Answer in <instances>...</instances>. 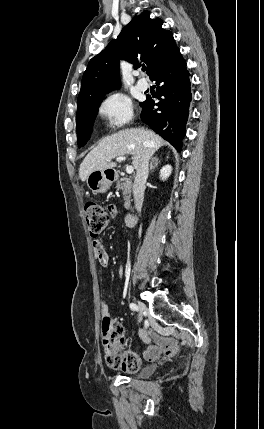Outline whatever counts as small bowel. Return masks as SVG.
Instances as JSON below:
<instances>
[{
  "mask_svg": "<svg viewBox=\"0 0 264 429\" xmlns=\"http://www.w3.org/2000/svg\"><path fill=\"white\" fill-rule=\"evenodd\" d=\"M112 213H115V209H112ZM93 250L95 257L99 261V263L106 267L109 265L110 262V256L108 252L105 250L104 246L101 244L99 240H94L92 243ZM123 270L120 269L119 276H122ZM102 312L103 314L107 313V305H102ZM140 336L143 340V342L147 345L146 349L144 350V357L148 360H155L157 359L161 353L166 352L167 354H170L177 348V342L172 338H165L153 331L143 330L140 333ZM132 354L130 352L125 353L121 356V363L119 365V369L126 371V365L124 363V359L127 355Z\"/></svg>",
  "mask_w": 264,
  "mask_h": 429,
  "instance_id": "small-bowel-1",
  "label": "small bowel"
}]
</instances>
